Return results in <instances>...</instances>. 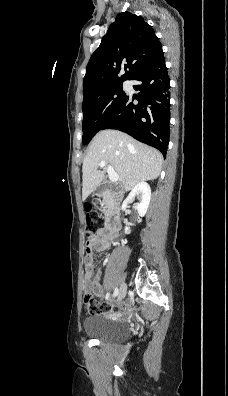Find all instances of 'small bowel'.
I'll return each mask as SVG.
<instances>
[{
  "label": "small bowel",
  "instance_id": "obj_1",
  "mask_svg": "<svg viewBox=\"0 0 228 396\" xmlns=\"http://www.w3.org/2000/svg\"><path fill=\"white\" fill-rule=\"evenodd\" d=\"M115 233L109 231L107 228H100L96 230L93 236L86 241V253L84 258L85 263V273H84V283L91 286V291L99 296H103V288L101 284V272H95L93 268V258L94 252H101L107 250L111 241L114 239ZM130 304L126 302L121 310H127ZM120 310V309H119ZM120 312L117 317L120 318Z\"/></svg>",
  "mask_w": 228,
  "mask_h": 396
}]
</instances>
